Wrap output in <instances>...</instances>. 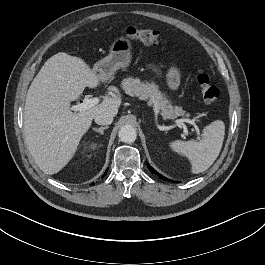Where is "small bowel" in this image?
Masks as SVG:
<instances>
[{
  "label": "small bowel",
  "mask_w": 265,
  "mask_h": 265,
  "mask_svg": "<svg viewBox=\"0 0 265 265\" xmlns=\"http://www.w3.org/2000/svg\"><path fill=\"white\" fill-rule=\"evenodd\" d=\"M180 76L175 67H172L167 73V83L171 89H176L179 85Z\"/></svg>",
  "instance_id": "1"
}]
</instances>
